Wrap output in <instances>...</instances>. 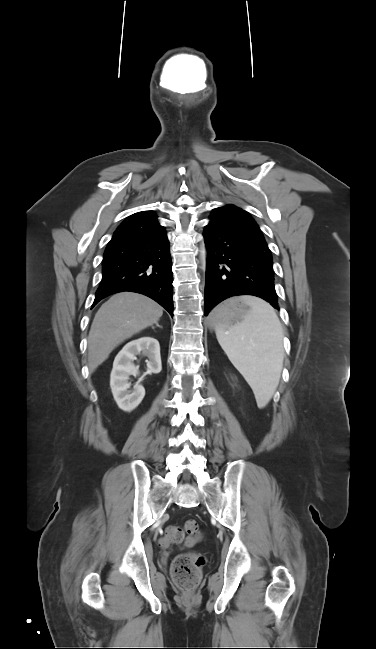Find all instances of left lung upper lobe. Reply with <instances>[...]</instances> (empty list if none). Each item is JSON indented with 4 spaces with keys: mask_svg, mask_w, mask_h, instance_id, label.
<instances>
[{
    "mask_svg": "<svg viewBox=\"0 0 376 649\" xmlns=\"http://www.w3.org/2000/svg\"><path fill=\"white\" fill-rule=\"evenodd\" d=\"M211 216L234 220L243 224L247 228H250L262 234L260 228L253 220V218L246 211H243L242 209L234 205H226L216 208L215 210H213Z\"/></svg>",
    "mask_w": 376,
    "mask_h": 649,
    "instance_id": "obj_1",
    "label": "left lung upper lobe"
}]
</instances>
